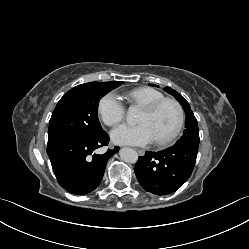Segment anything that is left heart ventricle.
<instances>
[{"label":"left heart ventricle","mask_w":249,"mask_h":249,"mask_svg":"<svg viewBox=\"0 0 249 249\" xmlns=\"http://www.w3.org/2000/svg\"><path fill=\"white\" fill-rule=\"evenodd\" d=\"M137 122L147 124L156 141L165 138L174 130L178 122V111L171 103L163 104L153 113L141 109Z\"/></svg>","instance_id":"1"}]
</instances>
